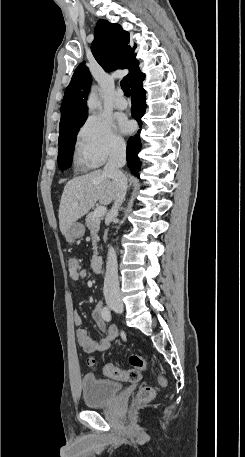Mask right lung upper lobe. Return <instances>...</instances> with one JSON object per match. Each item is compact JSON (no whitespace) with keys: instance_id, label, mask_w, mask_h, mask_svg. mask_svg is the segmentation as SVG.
I'll return each instance as SVG.
<instances>
[{"instance_id":"cb5924a9","label":"right lung upper lobe","mask_w":245,"mask_h":457,"mask_svg":"<svg viewBox=\"0 0 245 457\" xmlns=\"http://www.w3.org/2000/svg\"><path fill=\"white\" fill-rule=\"evenodd\" d=\"M129 33L120 25L99 20L94 29V40L91 44L92 53L97 62L106 71L114 69H129L125 78L131 84L144 76L139 71V62L135 59L134 49L128 46ZM92 82V77L84 62L75 70L70 84L65 90L61 105V120L59 128L87 118L86 100Z\"/></svg>"}]
</instances>
